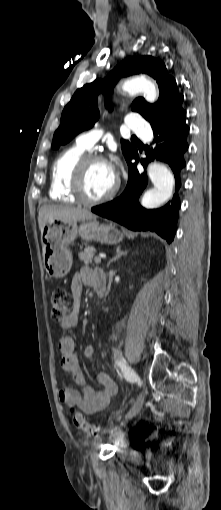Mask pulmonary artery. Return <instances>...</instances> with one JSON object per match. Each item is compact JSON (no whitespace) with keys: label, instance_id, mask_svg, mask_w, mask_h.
Returning <instances> with one entry per match:
<instances>
[{"label":"pulmonary artery","instance_id":"pulmonary-artery-1","mask_svg":"<svg viewBox=\"0 0 221 510\" xmlns=\"http://www.w3.org/2000/svg\"><path fill=\"white\" fill-rule=\"evenodd\" d=\"M127 126L144 141H149L152 137L149 123L137 114H130L127 117ZM101 134V130L93 129L79 134L76 138V142L84 148L90 149L99 140Z\"/></svg>","mask_w":221,"mask_h":510}]
</instances>
